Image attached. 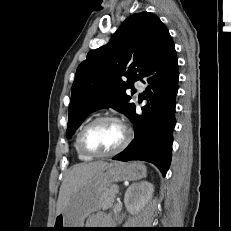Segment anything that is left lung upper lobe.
Here are the masks:
<instances>
[{"label": "left lung upper lobe", "instance_id": "left-lung-upper-lobe-1", "mask_svg": "<svg viewBox=\"0 0 231 231\" xmlns=\"http://www.w3.org/2000/svg\"><path fill=\"white\" fill-rule=\"evenodd\" d=\"M168 34L156 15L140 12L128 17L107 45L87 54L72 85L67 138L98 108L112 107L132 116L135 105L126 89L143 78Z\"/></svg>", "mask_w": 231, "mask_h": 231}]
</instances>
